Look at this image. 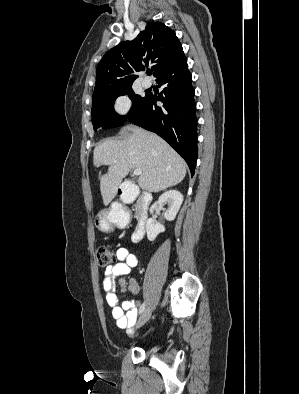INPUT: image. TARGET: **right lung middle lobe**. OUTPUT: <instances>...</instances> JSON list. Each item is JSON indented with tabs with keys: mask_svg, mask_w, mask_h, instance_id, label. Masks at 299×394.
<instances>
[{
	"mask_svg": "<svg viewBox=\"0 0 299 394\" xmlns=\"http://www.w3.org/2000/svg\"><path fill=\"white\" fill-rule=\"evenodd\" d=\"M125 94H129V98L132 100V107L126 116H120L114 111L113 105L118 96ZM144 100L145 97L134 93L132 85L95 92L92 99V124L94 129L121 126L139 108Z\"/></svg>",
	"mask_w": 299,
	"mask_h": 394,
	"instance_id": "dd1d6c3e",
	"label": "right lung middle lobe"
}]
</instances>
